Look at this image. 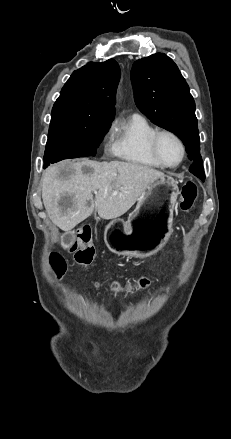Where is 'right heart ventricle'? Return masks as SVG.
<instances>
[{
    "label": "right heart ventricle",
    "mask_w": 231,
    "mask_h": 439,
    "mask_svg": "<svg viewBox=\"0 0 231 439\" xmlns=\"http://www.w3.org/2000/svg\"><path fill=\"white\" fill-rule=\"evenodd\" d=\"M156 129L142 116L133 115L119 123L115 129L112 153L117 158L130 164L147 168L160 169L149 151V140Z\"/></svg>",
    "instance_id": "e07e8e85"
}]
</instances>
